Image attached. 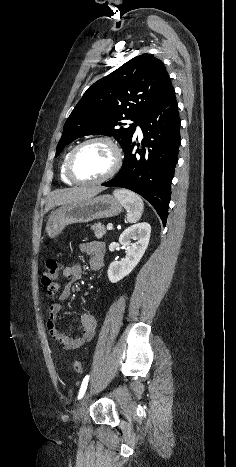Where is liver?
Returning <instances> with one entry per match:
<instances>
[{
    "label": "liver",
    "instance_id": "6515ba94",
    "mask_svg": "<svg viewBox=\"0 0 236 467\" xmlns=\"http://www.w3.org/2000/svg\"><path fill=\"white\" fill-rule=\"evenodd\" d=\"M103 190V187H75L55 190L48 199L44 213H47L55 206L90 199Z\"/></svg>",
    "mask_w": 236,
    "mask_h": 467
}]
</instances>
